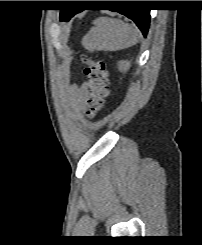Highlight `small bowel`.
I'll use <instances>...</instances> for the list:
<instances>
[{
	"mask_svg": "<svg viewBox=\"0 0 202 245\" xmlns=\"http://www.w3.org/2000/svg\"><path fill=\"white\" fill-rule=\"evenodd\" d=\"M72 91L76 92L79 98H82L84 96V92L86 89L85 85H82L81 87L73 86Z\"/></svg>",
	"mask_w": 202,
	"mask_h": 245,
	"instance_id": "c3829d8e",
	"label": "small bowel"
}]
</instances>
